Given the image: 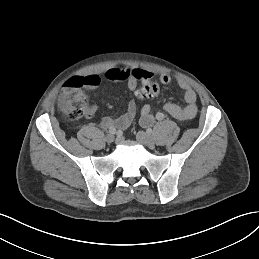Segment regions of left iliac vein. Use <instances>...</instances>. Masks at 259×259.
<instances>
[{
  "label": "left iliac vein",
  "instance_id": "1",
  "mask_svg": "<svg viewBox=\"0 0 259 259\" xmlns=\"http://www.w3.org/2000/svg\"><path fill=\"white\" fill-rule=\"evenodd\" d=\"M136 139L138 142H140L141 144L148 146V147H152L155 144L154 137L151 134L145 133L143 131H139L137 133Z\"/></svg>",
  "mask_w": 259,
  "mask_h": 259
}]
</instances>
